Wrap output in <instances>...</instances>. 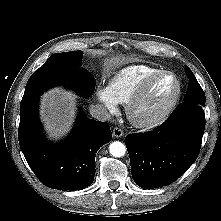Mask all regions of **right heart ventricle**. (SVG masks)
I'll use <instances>...</instances> for the list:
<instances>
[{
	"mask_svg": "<svg viewBox=\"0 0 221 221\" xmlns=\"http://www.w3.org/2000/svg\"><path fill=\"white\" fill-rule=\"evenodd\" d=\"M159 71L161 69L144 64L127 66L110 79L107 88L117 104H127L142 81Z\"/></svg>",
	"mask_w": 221,
	"mask_h": 221,
	"instance_id": "e07e8e85",
	"label": "right heart ventricle"
}]
</instances>
